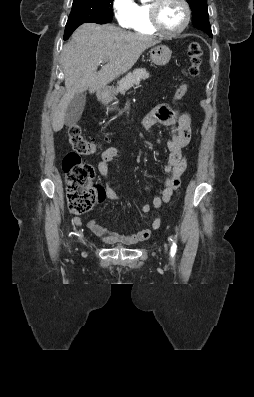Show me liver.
<instances>
[{"label": "liver", "instance_id": "6515ba94", "mask_svg": "<svg viewBox=\"0 0 254 397\" xmlns=\"http://www.w3.org/2000/svg\"><path fill=\"white\" fill-rule=\"evenodd\" d=\"M159 41L131 33L113 25L85 23L73 33L61 53L66 91L52 117V127L60 131L67 107L74 96L89 90L95 93L130 70L141 54ZM107 62L99 72L97 67Z\"/></svg>", "mask_w": 254, "mask_h": 397}]
</instances>
